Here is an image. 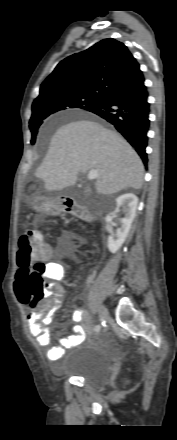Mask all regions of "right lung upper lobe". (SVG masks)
Returning a JSON list of instances; mask_svg holds the SVG:
<instances>
[{
    "label": "right lung upper lobe",
    "mask_w": 177,
    "mask_h": 440,
    "mask_svg": "<svg viewBox=\"0 0 177 440\" xmlns=\"http://www.w3.org/2000/svg\"><path fill=\"white\" fill-rule=\"evenodd\" d=\"M139 71L138 62L123 43L104 39L62 60L41 84L40 94L32 107L68 93L104 96Z\"/></svg>",
    "instance_id": "obj_1"
}]
</instances>
